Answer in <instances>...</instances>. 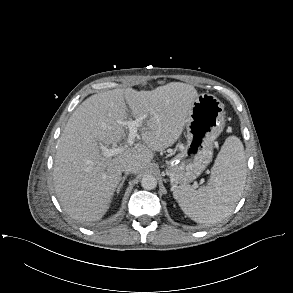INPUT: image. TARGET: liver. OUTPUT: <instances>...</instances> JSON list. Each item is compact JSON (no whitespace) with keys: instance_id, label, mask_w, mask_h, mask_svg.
<instances>
[{"instance_id":"obj_1","label":"liver","mask_w":293,"mask_h":293,"mask_svg":"<svg viewBox=\"0 0 293 293\" xmlns=\"http://www.w3.org/2000/svg\"><path fill=\"white\" fill-rule=\"evenodd\" d=\"M198 93L185 83L172 82L152 91L114 89L92 95L70 116L59 140L53 181L64 211L79 222L100 220L122 181V166L134 164V174L150 164L155 152L181 136ZM128 104L135 119L147 115L142 143L124 145L115 157L101 149L125 137Z\"/></svg>"}]
</instances>
